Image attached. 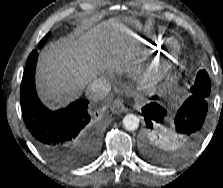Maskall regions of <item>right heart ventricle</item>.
I'll return each mask as SVG.
<instances>
[{
    "mask_svg": "<svg viewBox=\"0 0 223 188\" xmlns=\"http://www.w3.org/2000/svg\"><path fill=\"white\" fill-rule=\"evenodd\" d=\"M149 39L152 42H156L158 45H161L164 42V38L163 37H159V36H155V35L149 36Z\"/></svg>",
    "mask_w": 223,
    "mask_h": 188,
    "instance_id": "1",
    "label": "right heart ventricle"
}]
</instances>
